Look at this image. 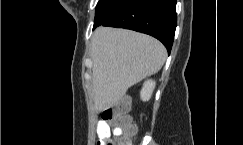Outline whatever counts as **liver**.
<instances>
[{
    "label": "liver",
    "instance_id": "liver-1",
    "mask_svg": "<svg viewBox=\"0 0 243 145\" xmlns=\"http://www.w3.org/2000/svg\"><path fill=\"white\" fill-rule=\"evenodd\" d=\"M91 56L94 104L104 111L117 105L131 86L157 73L167 52L148 35L101 26L93 34Z\"/></svg>",
    "mask_w": 243,
    "mask_h": 145
}]
</instances>
